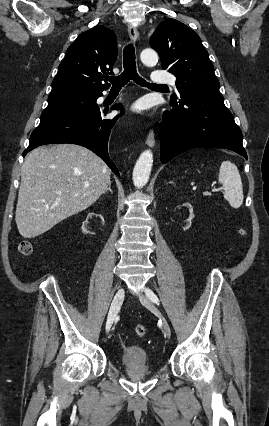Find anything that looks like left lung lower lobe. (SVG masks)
Masks as SVG:
<instances>
[{"mask_svg":"<svg viewBox=\"0 0 269 426\" xmlns=\"http://www.w3.org/2000/svg\"><path fill=\"white\" fill-rule=\"evenodd\" d=\"M161 125V161L197 147L226 148L247 159L242 133L224 105L219 88L183 93L171 100Z\"/></svg>","mask_w":269,"mask_h":426,"instance_id":"obj_1","label":"left lung lower lobe"}]
</instances>
